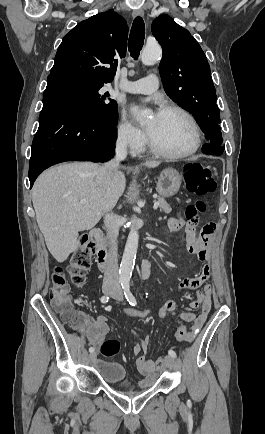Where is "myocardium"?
<instances>
[{
  "label": "myocardium",
  "instance_id": "obj_1",
  "mask_svg": "<svg viewBox=\"0 0 265 434\" xmlns=\"http://www.w3.org/2000/svg\"><path fill=\"white\" fill-rule=\"evenodd\" d=\"M171 111H176L181 113L191 124L193 129V142L191 146L182 152L169 153L157 148L152 143L149 137H148V146L150 148L151 153L157 157L167 159V160H181L193 155L195 152L198 151L202 142V131L195 117L183 106L178 104L167 105L162 108L161 113H167Z\"/></svg>",
  "mask_w": 265,
  "mask_h": 434
}]
</instances>
